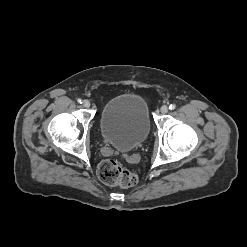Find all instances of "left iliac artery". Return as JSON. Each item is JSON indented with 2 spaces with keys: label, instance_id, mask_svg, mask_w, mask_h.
<instances>
[{
  "label": "left iliac artery",
  "instance_id": "left-iliac-artery-1",
  "mask_svg": "<svg viewBox=\"0 0 247 247\" xmlns=\"http://www.w3.org/2000/svg\"><path fill=\"white\" fill-rule=\"evenodd\" d=\"M176 108V105L175 104H171L170 106H169V109L170 110H174Z\"/></svg>",
  "mask_w": 247,
  "mask_h": 247
}]
</instances>
